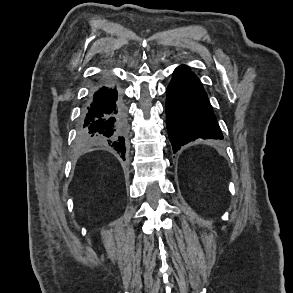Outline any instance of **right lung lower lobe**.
<instances>
[{
	"label": "right lung lower lobe",
	"instance_id": "98d812e1",
	"mask_svg": "<svg viewBox=\"0 0 293 293\" xmlns=\"http://www.w3.org/2000/svg\"><path fill=\"white\" fill-rule=\"evenodd\" d=\"M126 111L116 85L106 79L86 100L81 112L78 139L84 145H108L125 160L128 142Z\"/></svg>",
	"mask_w": 293,
	"mask_h": 293
}]
</instances>
